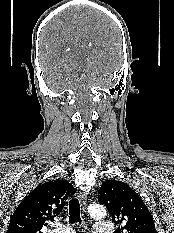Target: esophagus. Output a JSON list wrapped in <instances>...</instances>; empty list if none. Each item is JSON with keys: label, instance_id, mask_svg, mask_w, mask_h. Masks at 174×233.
<instances>
[{"label": "esophagus", "instance_id": "esophagus-1", "mask_svg": "<svg viewBox=\"0 0 174 233\" xmlns=\"http://www.w3.org/2000/svg\"><path fill=\"white\" fill-rule=\"evenodd\" d=\"M79 200H80V203L82 205L83 211H85V209H86V202H87V196H86V194L83 193V192H80L79 193Z\"/></svg>", "mask_w": 174, "mask_h": 233}]
</instances>
